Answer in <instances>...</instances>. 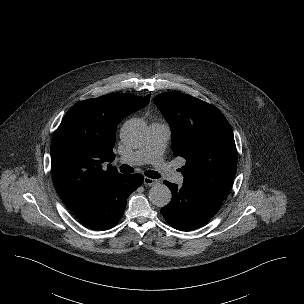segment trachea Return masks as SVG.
<instances>
[{"label":"trachea","instance_id":"3493384b","mask_svg":"<svg viewBox=\"0 0 304 304\" xmlns=\"http://www.w3.org/2000/svg\"><path fill=\"white\" fill-rule=\"evenodd\" d=\"M119 170L120 172L122 173H133L134 172V169L129 166V165H126V164H123L119 167ZM145 175L149 178H153V179H158L160 178V175L158 174V172L156 171H151V170H148V171H145Z\"/></svg>","mask_w":304,"mask_h":304}]
</instances>
